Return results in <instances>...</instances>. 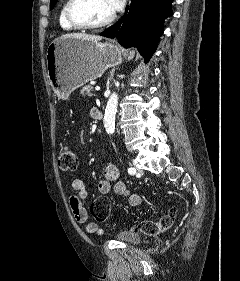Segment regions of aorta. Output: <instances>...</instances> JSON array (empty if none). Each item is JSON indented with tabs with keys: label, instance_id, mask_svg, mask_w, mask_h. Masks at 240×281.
Returning <instances> with one entry per match:
<instances>
[{
	"label": "aorta",
	"instance_id": "obj_1",
	"mask_svg": "<svg viewBox=\"0 0 240 281\" xmlns=\"http://www.w3.org/2000/svg\"><path fill=\"white\" fill-rule=\"evenodd\" d=\"M118 105V95L112 93L108 99L104 115V126L108 134H113L115 131V115Z\"/></svg>",
	"mask_w": 240,
	"mask_h": 281
}]
</instances>
